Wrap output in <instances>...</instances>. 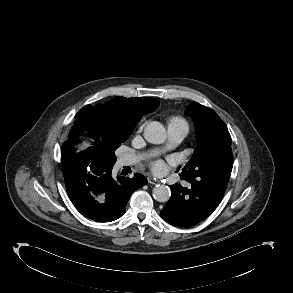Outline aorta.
Returning a JSON list of instances; mask_svg holds the SVG:
<instances>
[{
  "label": "aorta",
  "mask_w": 293,
  "mask_h": 293,
  "mask_svg": "<svg viewBox=\"0 0 293 293\" xmlns=\"http://www.w3.org/2000/svg\"><path fill=\"white\" fill-rule=\"evenodd\" d=\"M144 137L152 144H162L166 139V130L160 122L152 121L146 125ZM152 192L158 202H167L171 196L170 188L166 185H157Z\"/></svg>",
  "instance_id": "1"
}]
</instances>
